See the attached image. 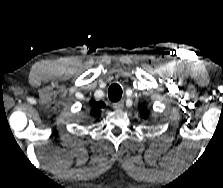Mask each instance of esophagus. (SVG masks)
Segmentation results:
<instances>
[{
    "label": "esophagus",
    "mask_w": 223,
    "mask_h": 188,
    "mask_svg": "<svg viewBox=\"0 0 223 188\" xmlns=\"http://www.w3.org/2000/svg\"><path fill=\"white\" fill-rule=\"evenodd\" d=\"M123 107H124V101L123 100L118 101V102L113 104V108L116 109V110H121V109H123Z\"/></svg>",
    "instance_id": "34e87169"
}]
</instances>
